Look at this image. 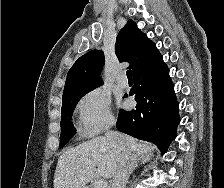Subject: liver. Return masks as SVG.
Masks as SVG:
<instances>
[{"mask_svg":"<svg viewBox=\"0 0 224 188\" xmlns=\"http://www.w3.org/2000/svg\"><path fill=\"white\" fill-rule=\"evenodd\" d=\"M134 155H148L156 148L128 135H122ZM119 152L104 136L95 137L66 150L58 159L54 188H87L95 177H114Z\"/></svg>","mask_w":224,"mask_h":188,"instance_id":"obj_1","label":"liver"}]
</instances>
